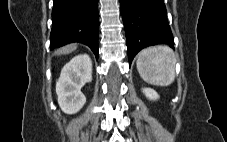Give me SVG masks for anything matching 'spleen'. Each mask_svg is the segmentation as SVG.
<instances>
[{
	"label": "spleen",
	"mask_w": 227,
	"mask_h": 142,
	"mask_svg": "<svg viewBox=\"0 0 227 142\" xmlns=\"http://www.w3.org/2000/svg\"><path fill=\"white\" fill-rule=\"evenodd\" d=\"M175 56L168 46L143 49L137 57V70L141 78L153 85L168 86L175 80Z\"/></svg>",
	"instance_id": "obj_1"
}]
</instances>
